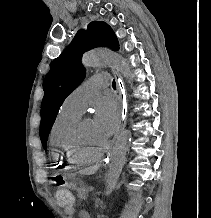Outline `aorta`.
I'll use <instances>...</instances> for the list:
<instances>
[{"label":"aorta","instance_id":"obj_1","mask_svg":"<svg viewBox=\"0 0 211 218\" xmlns=\"http://www.w3.org/2000/svg\"><path fill=\"white\" fill-rule=\"evenodd\" d=\"M82 63L85 67H96L106 64L130 80V69L126 61L109 50H92L84 54ZM131 143V131L123 130L117 137L110 155L109 170L106 175V190L109 194L116 186L126 161Z\"/></svg>","mask_w":211,"mask_h":218}]
</instances>
